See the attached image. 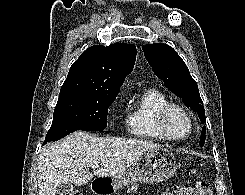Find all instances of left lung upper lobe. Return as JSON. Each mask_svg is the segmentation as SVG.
<instances>
[{
	"mask_svg": "<svg viewBox=\"0 0 245 195\" xmlns=\"http://www.w3.org/2000/svg\"><path fill=\"white\" fill-rule=\"evenodd\" d=\"M142 49L155 75L164 82L168 89L182 98L187 107L197 112L200 121L205 123L204 107L201 105L203 102L197 83L191 77L182 58L172 47L162 43L147 44ZM204 142L205 126L202 128L200 137L201 147Z\"/></svg>",
	"mask_w": 245,
	"mask_h": 195,
	"instance_id": "left-lung-upper-lobe-1",
	"label": "left lung upper lobe"
}]
</instances>
